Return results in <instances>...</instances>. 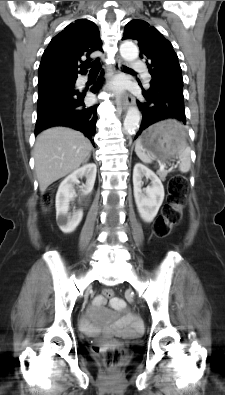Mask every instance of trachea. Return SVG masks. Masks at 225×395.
<instances>
[{
    "label": "trachea",
    "mask_w": 225,
    "mask_h": 395,
    "mask_svg": "<svg viewBox=\"0 0 225 395\" xmlns=\"http://www.w3.org/2000/svg\"><path fill=\"white\" fill-rule=\"evenodd\" d=\"M127 70H131L130 68H127V67H125ZM99 71V69L98 68H96V67H92L91 68V70H90V73H97Z\"/></svg>",
    "instance_id": "obj_1"
}]
</instances>
